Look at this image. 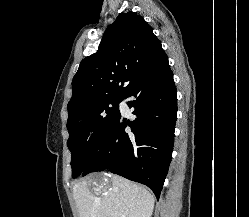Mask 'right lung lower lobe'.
I'll use <instances>...</instances> for the list:
<instances>
[{
    "mask_svg": "<svg viewBox=\"0 0 249 217\" xmlns=\"http://www.w3.org/2000/svg\"><path fill=\"white\" fill-rule=\"evenodd\" d=\"M128 97H134L127 104L135 108L136 119L126 121L120 114L81 175L109 170L147 185L159 199L172 157L177 115V91L165 52L124 98Z\"/></svg>",
    "mask_w": 249,
    "mask_h": 217,
    "instance_id": "right-lung-lower-lobe-1",
    "label": "right lung lower lobe"
}]
</instances>
